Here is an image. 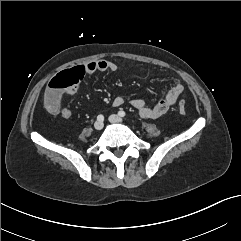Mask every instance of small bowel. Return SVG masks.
I'll use <instances>...</instances> for the list:
<instances>
[{
  "mask_svg": "<svg viewBox=\"0 0 241 241\" xmlns=\"http://www.w3.org/2000/svg\"><path fill=\"white\" fill-rule=\"evenodd\" d=\"M87 74L96 71L99 72H116L118 66L116 63L107 60L92 61L83 65ZM184 87L181 82L176 81L171 86L169 91L166 93L164 98L157 102L153 106H148L146 102L142 99H132L130 104L136 108L141 117L147 119H156L164 115L177 101L178 97L182 94ZM77 87H71L67 92H65L54 104L53 107H47L48 111L53 115H60L64 119H69L72 117V112L67 107L62 105V99L64 96H70L75 94ZM124 104V98L121 96H116L112 100V105L114 107H119Z\"/></svg>",
  "mask_w": 241,
  "mask_h": 241,
  "instance_id": "obj_1",
  "label": "small bowel"
}]
</instances>
